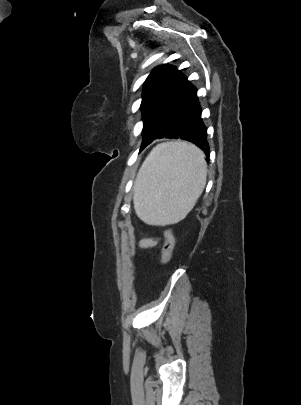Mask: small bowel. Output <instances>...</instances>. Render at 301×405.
Returning <instances> with one entry per match:
<instances>
[{"mask_svg":"<svg viewBox=\"0 0 301 405\" xmlns=\"http://www.w3.org/2000/svg\"><path fill=\"white\" fill-rule=\"evenodd\" d=\"M157 245V241L154 238H145L140 241L139 247L142 249L155 247Z\"/></svg>","mask_w":301,"mask_h":405,"instance_id":"obj_1","label":"small bowel"}]
</instances>
